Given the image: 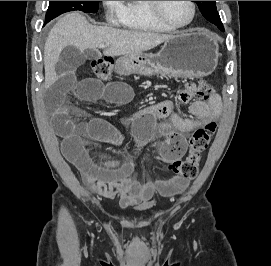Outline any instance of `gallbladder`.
Masks as SVG:
<instances>
[{"label":"gallbladder","mask_w":271,"mask_h":266,"mask_svg":"<svg viewBox=\"0 0 271 266\" xmlns=\"http://www.w3.org/2000/svg\"><path fill=\"white\" fill-rule=\"evenodd\" d=\"M98 56L99 54L91 49L81 52L75 46H67L60 54V59L56 64V73L61 76L70 75L87 59H95Z\"/></svg>","instance_id":"obj_1"}]
</instances>
